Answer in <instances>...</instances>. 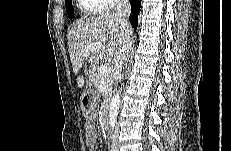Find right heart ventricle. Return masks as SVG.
Here are the masks:
<instances>
[{"label":"right heart ventricle","instance_id":"obj_1","mask_svg":"<svg viewBox=\"0 0 231 151\" xmlns=\"http://www.w3.org/2000/svg\"><path fill=\"white\" fill-rule=\"evenodd\" d=\"M82 8L87 13H95L101 11L98 3L87 0L82 2Z\"/></svg>","mask_w":231,"mask_h":151}]
</instances>
